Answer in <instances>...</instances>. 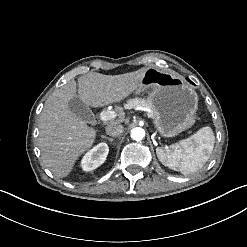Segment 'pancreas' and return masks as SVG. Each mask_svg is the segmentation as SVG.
Masks as SVG:
<instances>
[{"mask_svg": "<svg viewBox=\"0 0 247 247\" xmlns=\"http://www.w3.org/2000/svg\"><path fill=\"white\" fill-rule=\"evenodd\" d=\"M123 107L126 110L133 109L135 107L151 108L149 101L146 98H129L123 103Z\"/></svg>", "mask_w": 247, "mask_h": 247, "instance_id": "1", "label": "pancreas"}]
</instances>
